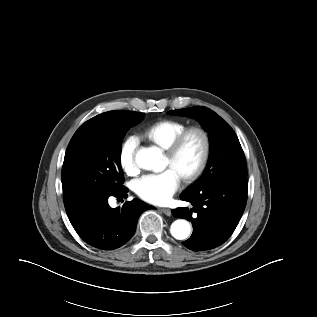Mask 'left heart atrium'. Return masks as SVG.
Wrapping results in <instances>:
<instances>
[{
    "label": "left heart atrium",
    "mask_w": 317,
    "mask_h": 317,
    "mask_svg": "<svg viewBox=\"0 0 317 317\" xmlns=\"http://www.w3.org/2000/svg\"><path fill=\"white\" fill-rule=\"evenodd\" d=\"M180 183L181 176L173 168H168L161 173L146 174L137 179L134 190L143 200L161 205L171 200Z\"/></svg>",
    "instance_id": "left-heart-atrium-1"
}]
</instances>
